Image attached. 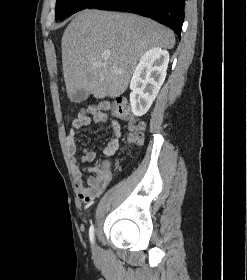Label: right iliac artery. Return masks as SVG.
<instances>
[{
  "instance_id": "right-iliac-artery-1",
  "label": "right iliac artery",
  "mask_w": 247,
  "mask_h": 280,
  "mask_svg": "<svg viewBox=\"0 0 247 280\" xmlns=\"http://www.w3.org/2000/svg\"><path fill=\"white\" fill-rule=\"evenodd\" d=\"M89 238L92 244H94V226L91 225L89 229Z\"/></svg>"
}]
</instances>
